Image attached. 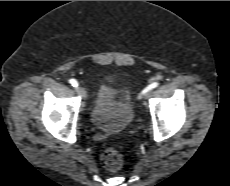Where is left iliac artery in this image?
<instances>
[{
    "mask_svg": "<svg viewBox=\"0 0 230 186\" xmlns=\"http://www.w3.org/2000/svg\"><path fill=\"white\" fill-rule=\"evenodd\" d=\"M159 85V83L157 82H154V83H151L150 85H148L144 90H143V93H146L154 88H156L157 86Z\"/></svg>",
    "mask_w": 230,
    "mask_h": 186,
    "instance_id": "left-iliac-artery-1",
    "label": "left iliac artery"
}]
</instances>
